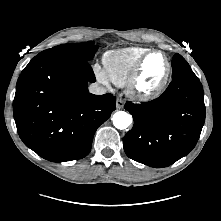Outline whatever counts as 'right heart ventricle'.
Here are the masks:
<instances>
[{
	"label": "right heart ventricle",
	"instance_id": "e07e8e85",
	"mask_svg": "<svg viewBox=\"0 0 221 221\" xmlns=\"http://www.w3.org/2000/svg\"><path fill=\"white\" fill-rule=\"evenodd\" d=\"M149 50L141 46L108 50L102 57L104 71L115 85L125 86L137 62Z\"/></svg>",
	"mask_w": 221,
	"mask_h": 221
}]
</instances>
